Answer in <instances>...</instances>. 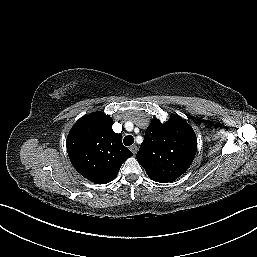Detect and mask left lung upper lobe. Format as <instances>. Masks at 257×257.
<instances>
[{
	"label": "left lung upper lobe",
	"mask_w": 257,
	"mask_h": 257,
	"mask_svg": "<svg viewBox=\"0 0 257 257\" xmlns=\"http://www.w3.org/2000/svg\"><path fill=\"white\" fill-rule=\"evenodd\" d=\"M196 151L197 139L192 127L174 115L165 124L158 119L150 124L136 158L152 180L166 183L185 173Z\"/></svg>",
	"instance_id": "left-lung-upper-lobe-1"
}]
</instances>
